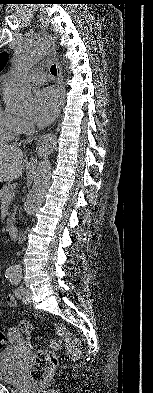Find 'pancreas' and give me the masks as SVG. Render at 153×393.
I'll return each mask as SVG.
<instances>
[{
	"mask_svg": "<svg viewBox=\"0 0 153 393\" xmlns=\"http://www.w3.org/2000/svg\"><path fill=\"white\" fill-rule=\"evenodd\" d=\"M12 187H13V186H12L10 183H7V184H5V185L2 187V189H0V199H1V200H6L7 194H9V193L12 192V190H11ZM7 201L10 202V200H7ZM13 217H14V214L11 215V218H8V219H7V225H10V224L12 223Z\"/></svg>",
	"mask_w": 153,
	"mask_h": 393,
	"instance_id": "obj_1",
	"label": "pancreas"
}]
</instances>
